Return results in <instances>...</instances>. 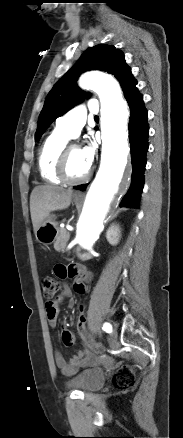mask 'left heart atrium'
Wrapping results in <instances>:
<instances>
[{"label": "left heart atrium", "instance_id": "left-heart-atrium-1", "mask_svg": "<svg viewBox=\"0 0 183 438\" xmlns=\"http://www.w3.org/2000/svg\"><path fill=\"white\" fill-rule=\"evenodd\" d=\"M81 151H82V154H83V157H84L85 161L90 166L92 161H93L94 153H95L94 144L93 143H89Z\"/></svg>", "mask_w": 183, "mask_h": 438}]
</instances>
